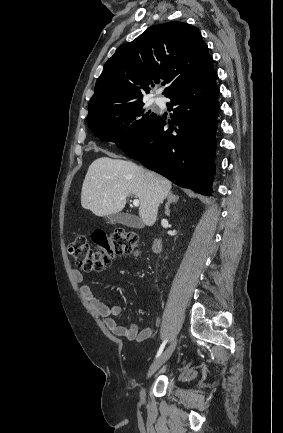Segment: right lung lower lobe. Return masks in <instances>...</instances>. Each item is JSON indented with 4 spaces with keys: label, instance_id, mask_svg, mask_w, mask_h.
Returning <instances> with one entry per match:
<instances>
[{
    "label": "right lung lower lobe",
    "instance_id": "1",
    "mask_svg": "<svg viewBox=\"0 0 283 433\" xmlns=\"http://www.w3.org/2000/svg\"><path fill=\"white\" fill-rule=\"evenodd\" d=\"M216 78L217 74L167 96L172 122L156 115L143 136L124 152L175 184L209 195L219 110Z\"/></svg>",
    "mask_w": 283,
    "mask_h": 433
}]
</instances>
